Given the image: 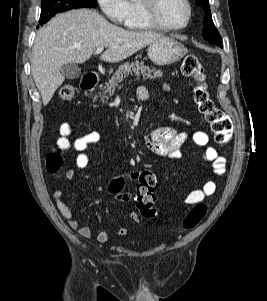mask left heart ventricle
Returning a JSON list of instances; mask_svg holds the SVG:
<instances>
[{
  "label": "left heart ventricle",
  "instance_id": "b2bd125f",
  "mask_svg": "<svg viewBox=\"0 0 267 301\" xmlns=\"http://www.w3.org/2000/svg\"><path fill=\"white\" fill-rule=\"evenodd\" d=\"M159 15L168 25H181L187 17V9L183 0H161Z\"/></svg>",
  "mask_w": 267,
  "mask_h": 301
}]
</instances>
